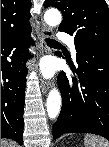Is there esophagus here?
I'll list each match as a JSON object with an SVG mask.
<instances>
[{
    "mask_svg": "<svg viewBox=\"0 0 109 147\" xmlns=\"http://www.w3.org/2000/svg\"><path fill=\"white\" fill-rule=\"evenodd\" d=\"M50 36H52V30L49 27H47L46 25L43 24L41 35H40V38H39L40 39V52L42 54H45V53L49 52V48H48V46L46 44L45 39L50 37ZM50 87H51V83L44 80V79H42V81H41L42 91L44 93H46V92H48Z\"/></svg>",
    "mask_w": 109,
    "mask_h": 147,
    "instance_id": "1",
    "label": "esophagus"
}]
</instances>
